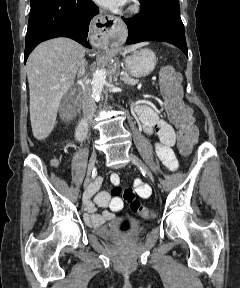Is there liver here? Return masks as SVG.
I'll return each instance as SVG.
<instances>
[{"label":"liver","instance_id":"liver-1","mask_svg":"<svg viewBox=\"0 0 240 288\" xmlns=\"http://www.w3.org/2000/svg\"><path fill=\"white\" fill-rule=\"evenodd\" d=\"M85 51L79 43L59 37L39 44L30 54L26 66L36 139H46L54 129L60 101L74 84Z\"/></svg>","mask_w":240,"mask_h":288}]
</instances>
